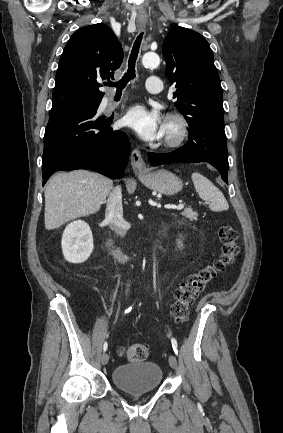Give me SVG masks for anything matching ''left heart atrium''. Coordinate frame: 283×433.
<instances>
[{
  "label": "left heart atrium",
  "instance_id": "left-heart-atrium-1",
  "mask_svg": "<svg viewBox=\"0 0 283 433\" xmlns=\"http://www.w3.org/2000/svg\"><path fill=\"white\" fill-rule=\"evenodd\" d=\"M154 111L143 105H135L124 118L126 125L145 142L159 141L165 135V122Z\"/></svg>",
  "mask_w": 283,
  "mask_h": 433
}]
</instances>
